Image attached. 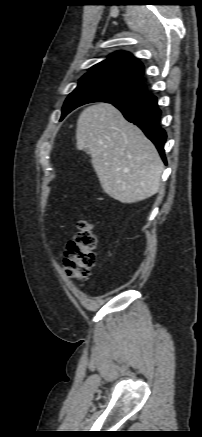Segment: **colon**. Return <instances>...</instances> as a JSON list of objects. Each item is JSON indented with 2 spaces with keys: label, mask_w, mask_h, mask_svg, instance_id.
Wrapping results in <instances>:
<instances>
[{
  "label": "colon",
  "mask_w": 202,
  "mask_h": 437,
  "mask_svg": "<svg viewBox=\"0 0 202 437\" xmlns=\"http://www.w3.org/2000/svg\"><path fill=\"white\" fill-rule=\"evenodd\" d=\"M96 245L93 224L87 219H80L77 231L65 249L64 264L68 276L85 280L91 275V270L96 264Z\"/></svg>",
  "instance_id": "colon-1"
}]
</instances>
